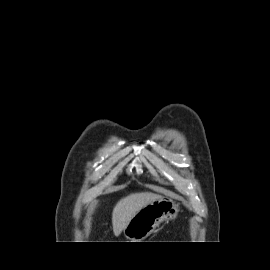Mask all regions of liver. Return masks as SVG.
<instances>
[{"label": "liver", "mask_w": 270, "mask_h": 270, "mask_svg": "<svg viewBox=\"0 0 270 270\" xmlns=\"http://www.w3.org/2000/svg\"><path fill=\"white\" fill-rule=\"evenodd\" d=\"M161 198L151 192L132 193L120 199L112 211V226L115 236H119L132 217L147 204Z\"/></svg>", "instance_id": "1"}]
</instances>
